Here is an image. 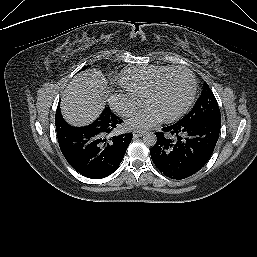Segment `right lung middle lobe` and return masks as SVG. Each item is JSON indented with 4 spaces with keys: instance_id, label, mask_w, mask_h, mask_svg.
<instances>
[{
    "instance_id": "1",
    "label": "right lung middle lobe",
    "mask_w": 257,
    "mask_h": 257,
    "mask_svg": "<svg viewBox=\"0 0 257 257\" xmlns=\"http://www.w3.org/2000/svg\"><path fill=\"white\" fill-rule=\"evenodd\" d=\"M89 67H90V66H89ZM85 68H87V67H84V69H85ZM105 111L110 112L111 110H110L108 107H106V108H105Z\"/></svg>"
}]
</instances>
